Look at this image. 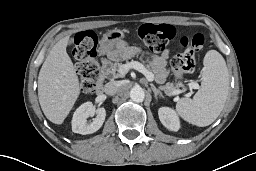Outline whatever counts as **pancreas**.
Masks as SVG:
<instances>
[{
  "mask_svg": "<svg viewBox=\"0 0 256 171\" xmlns=\"http://www.w3.org/2000/svg\"><path fill=\"white\" fill-rule=\"evenodd\" d=\"M121 65L122 64L118 63V62L111 63L109 68L106 69L105 74L108 77H111L113 79L123 77L124 75H122L119 72V68H120ZM150 71H151V73L153 72V74L155 75V80H156L157 83L163 84L166 81V78L168 76V72H167L166 69H164V68H151ZM160 89L162 91H164L165 94L168 95V96H172L173 93L177 90L174 87V84L170 83V82L166 83L165 85H161Z\"/></svg>",
  "mask_w": 256,
  "mask_h": 171,
  "instance_id": "obj_1",
  "label": "pancreas"
}]
</instances>
